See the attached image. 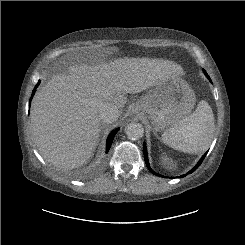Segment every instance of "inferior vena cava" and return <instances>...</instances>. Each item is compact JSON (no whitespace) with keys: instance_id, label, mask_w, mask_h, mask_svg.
<instances>
[{"instance_id":"obj_1","label":"inferior vena cava","mask_w":245,"mask_h":245,"mask_svg":"<svg viewBox=\"0 0 245 245\" xmlns=\"http://www.w3.org/2000/svg\"><path fill=\"white\" fill-rule=\"evenodd\" d=\"M119 117L118 108L111 103H103L99 106V118L103 123H113Z\"/></svg>"}]
</instances>
